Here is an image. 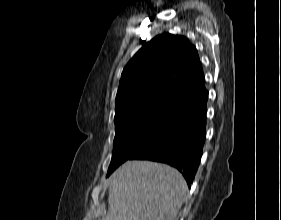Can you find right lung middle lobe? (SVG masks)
Listing matches in <instances>:
<instances>
[{"instance_id": "1", "label": "right lung middle lobe", "mask_w": 281, "mask_h": 220, "mask_svg": "<svg viewBox=\"0 0 281 220\" xmlns=\"http://www.w3.org/2000/svg\"><path fill=\"white\" fill-rule=\"evenodd\" d=\"M169 117L147 114L115 120L114 149L107 176L147 143Z\"/></svg>"}]
</instances>
